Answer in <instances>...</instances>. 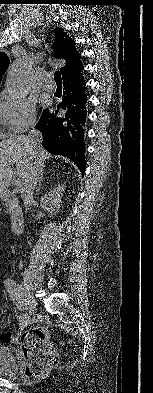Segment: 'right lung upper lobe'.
Returning a JSON list of instances; mask_svg holds the SVG:
<instances>
[{
    "label": "right lung upper lobe",
    "mask_w": 153,
    "mask_h": 393,
    "mask_svg": "<svg viewBox=\"0 0 153 393\" xmlns=\"http://www.w3.org/2000/svg\"><path fill=\"white\" fill-rule=\"evenodd\" d=\"M56 42L53 44V50L55 57L63 58L66 61V65L60 68L62 78L65 75L76 72L83 68L80 61V54L75 49V42L67 37L63 29H55ZM9 64L8 56L0 52V82L4 71L7 69Z\"/></svg>",
    "instance_id": "1"
}]
</instances>
